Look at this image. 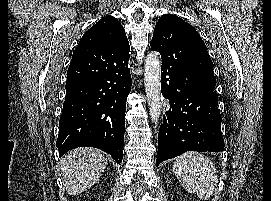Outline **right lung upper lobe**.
Here are the masks:
<instances>
[{
	"mask_svg": "<svg viewBox=\"0 0 271 201\" xmlns=\"http://www.w3.org/2000/svg\"><path fill=\"white\" fill-rule=\"evenodd\" d=\"M99 44L109 46L130 57V46L124 28L113 16H106L92 26L81 38L79 44Z\"/></svg>",
	"mask_w": 271,
	"mask_h": 201,
	"instance_id": "right-lung-upper-lobe-1",
	"label": "right lung upper lobe"
}]
</instances>
